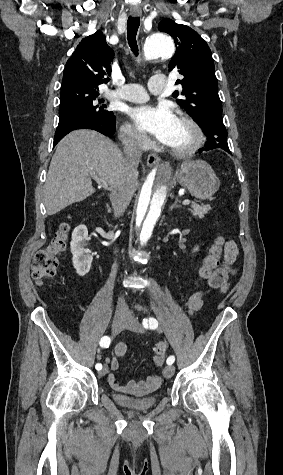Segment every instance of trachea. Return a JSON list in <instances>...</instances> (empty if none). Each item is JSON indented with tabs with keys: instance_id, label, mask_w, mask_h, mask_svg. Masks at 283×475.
<instances>
[{
	"instance_id": "obj_1",
	"label": "trachea",
	"mask_w": 283,
	"mask_h": 475,
	"mask_svg": "<svg viewBox=\"0 0 283 475\" xmlns=\"http://www.w3.org/2000/svg\"><path fill=\"white\" fill-rule=\"evenodd\" d=\"M140 25L139 17H129L127 21V40L128 44L131 47L132 52L137 56L138 55V46L136 35Z\"/></svg>"
}]
</instances>
